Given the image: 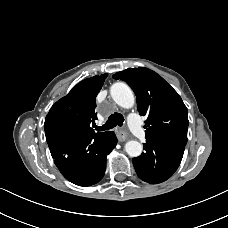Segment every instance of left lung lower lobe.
Wrapping results in <instances>:
<instances>
[{
  "instance_id": "1",
  "label": "left lung lower lobe",
  "mask_w": 228,
  "mask_h": 228,
  "mask_svg": "<svg viewBox=\"0 0 228 228\" xmlns=\"http://www.w3.org/2000/svg\"><path fill=\"white\" fill-rule=\"evenodd\" d=\"M145 152L132 162L143 181L157 184L170 178L180 165L185 146L164 138H146Z\"/></svg>"
}]
</instances>
